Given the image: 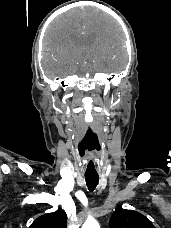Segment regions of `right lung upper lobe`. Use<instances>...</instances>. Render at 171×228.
Segmentation results:
<instances>
[{
  "label": "right lung upper lobe",
  "instance_id": "cb5924a9",
  "mask_svg": "<svg viewBox=\"0 0 171 228\" xmlns=\"http://www.w3.org/2000/svg\"><path fill=\"white\" fill-rule=\"evenodd\" d=\"M67 215L59 208L56 212L48 213L38 217L30 228H66Z\"/></svg>",
  "mask_w": 171,
  "mask_h": 228
}]
</instances>
